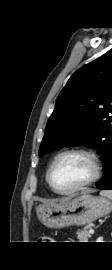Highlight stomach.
<instances>
[{"instance_id":"stomach-1","label":"stomach","mask_w":112,"mask_h":270,"mask_svg":"<svg viewBox=\"0 0 112 270\" xmlns=\"http://www.w3.org/2000/svg\"><path fill=\"white\" fill-rule=\"evenodd\" d=\"M112 203L105 197L82 194L73 199L37 206L38 219L49 228L84 226L108 215Z\"/></svg>"}]
</instances>
